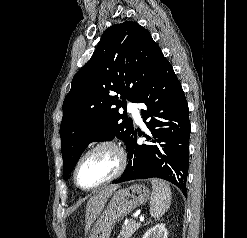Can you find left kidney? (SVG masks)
Here are the masks:
<instances>
[{
    "instance_id": "left-kidney-1",
    "label": "left kidney",
    "mask_w": 247,
    "mask_h": 238,
    "mask_svg": "<svg viewBox=\"0 0 247 238\" xmlns=\"http://www.w3.org/2000/svg\"><path fill=\"white\" fill-rule=\"evenodd\" d=\"M143 238H168V232L164 224H157L149 229Z\"/></svg>"
}]
</instances>
